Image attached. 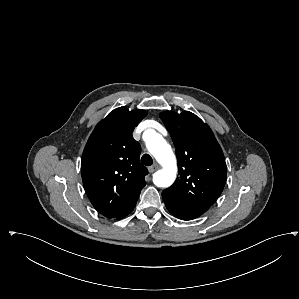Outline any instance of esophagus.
Masks as SVG:
<instances>
[{"label": "esophagus", "mask_w": 299, "mask_h": 299, "mask_svg": "<svg viewBox=\"0 0 299 299\" xmlns=\"http://www.w3.org/2000/svg\"><path fill=\"white\" fill-rule=\"evenodd\" d=\"M159 168L158 164H154L153 166L149 167L148 170L150 173L155 172Z\"/></svg>", "instance_id": "esophagus-1"}]
</instances>
